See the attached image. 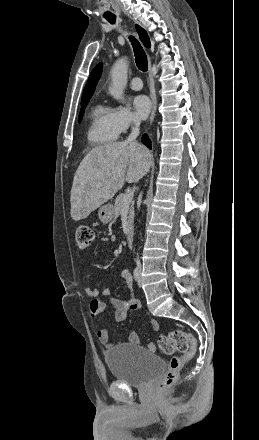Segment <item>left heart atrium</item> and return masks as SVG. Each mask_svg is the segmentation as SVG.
I'll return each mask as SVG.
<instances>
[{
    "label": "left heart atrium",
    "mask_w": 259,
    "mask_h": 440,
    "mask_svg": "<svg viewBox=\"0 0 259 440\" xmlns=\"http://www.w3.org/2000/svg\"><path fill=\"white\" fill-rule=\"evenodd\" d=\"M133 105L137 115L142 119L146 118L151 110V102L145 95L136 96L134 98Z\"/></svg>",
    "instance_id": "obj_1"
}]
</instances>
